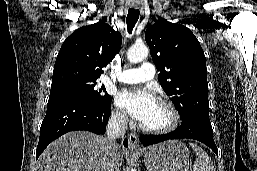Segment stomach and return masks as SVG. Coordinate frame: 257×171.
Returning a JSON list of instances; mask_svg holds the SVG:
<instances>
[{"instance_id": "1", "label": "stomach", "mask_w": 257, "mask_h": 171, "mask_svg": "<svg viewBox=\"0 0 257 171\" xmlns=\"http://www.w3.org/2000/svg\"><path fill=\"white\" fill-rule=\"evenodd\" d=\"M144 164L148 171H188L189 151L180 141H166L144 153Z\"/></svg>"}]
</instances>
